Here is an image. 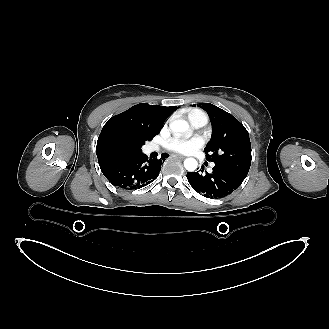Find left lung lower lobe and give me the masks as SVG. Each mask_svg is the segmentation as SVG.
<instances>
[{"label": "left lung lower lobe", "instance_id": "left-lung-lower-lobe-1", "mask_svg": "<svg viewBox=\"0 0 329 329\" xmlns=\"http://www.w3.org/2000/svg\"><path fill=\"white\" fill-rule=\"evenodd\" d=\"M202 171L188 172L187 179L192 188L209 198H222L235 191L246 176L227 167L215 165L211 174Z\"/></svg>", "mask_w": 329, "mask_h": 329}]
</instances>
